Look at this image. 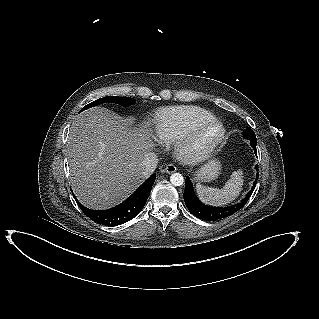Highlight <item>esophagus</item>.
<instances>
[{
	"instance_id": "esophagus-1",
	"label": "esophagus",
	"mask_w": 319,
	"mask_h": 319,
	"mask_svg": "<svg viewBox=\"0 0 319 319\" xmlns=\"http://www.w3.org/2000/svg\"><path fill=\"white\" fill-rule=\"evenodd\" d=\"M176 170H177V168H176V166L173 165V164H168V165L166 166V168H165V172L168 173V174L174 173V172H176Z\"/></svg>"
}]
</instances>
